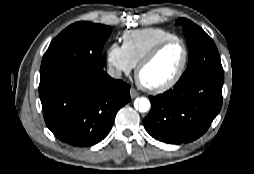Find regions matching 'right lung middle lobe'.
Returning <instances> with one entry per match:
<instances>
[{"mask_svg":"<svg viewBox=\"0 0 254 174\" xmlns=\"http://www.w3.org/2000/svg\"><path fill=\"white\" fill-rule=\"evenodd\" d=\"M111 27L77 22L63 30L45 52L40 68V87L80 72L102 71V49Z\"/></svg>","mask_w":254,"mask_h":174,"instance_id":"dd1d6c3e","label":"right lung middle lobe"}]
</instances>
